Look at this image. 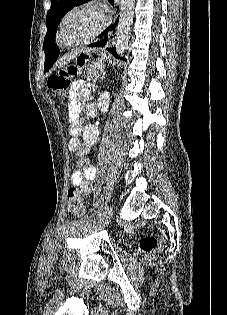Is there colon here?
Listing matches in <instances>:
<instances>
[{"label": "colon", "mask_w": 227, "mask_h": 315, "mask_svg": "<svg viewBox=\"0 0 227 315\" xmlns=\"http://www.w3.org/2000/svg\"><path fill=\"white\" fill-rule=\"evenodd\" d=\"M84 64L85 59L79 56L69 65L59 69L48 78L47 84L49 89L57 96L64 98L71 83V79L80 71ZM67 208L68 211L76 217H80L84 214L85 203L79 188L71 187L68 190ZM140 247L146 256L153 257L161 251L163 245L159 238L143 236L140 239Z\"/></svg>", "instance_id": "obj_1"}]
</instances>
